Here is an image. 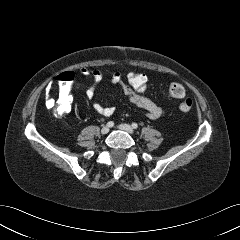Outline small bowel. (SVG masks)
<instances>
[{
    "mask_svg": "<svg viewBox=\"0 0 240 240\" xmlns=\"http://www.w3.org/2000/svg\"><path fill=\"white\" fill-rule=\"evenodd\" d=\"M80 74L84 77H91L92 84L87 88L85 94L87 99L92 100L96 93V88L103 79V72L100 69L81 68ZM111 84L119 85L126 98L135 106L146 111V115L151 120H156L166 113V109L156 104L146 95H140L134 92L126 83L125 76L119 71H115L110 79ZM70 100L72 101L71 97ZM48 106H52V100L46 101ZM93 109L100 115L110 117L115 112V107L104 106L98 102L93 103Z\"/></svg>",
    "mask_w": 240,
    "mask_h": 240,
    "instance_id": "1",
    "label": "small bowel"
}]
</instances>
